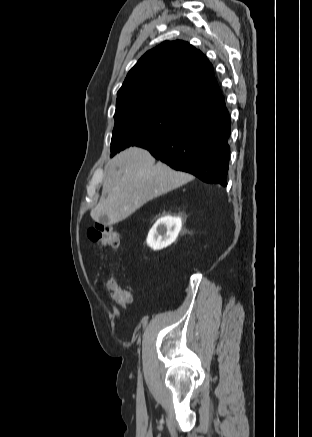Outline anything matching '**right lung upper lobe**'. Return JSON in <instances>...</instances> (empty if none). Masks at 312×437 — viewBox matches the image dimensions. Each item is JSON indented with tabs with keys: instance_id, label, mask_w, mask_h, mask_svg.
Listing matches in <instances>:
<instances>
[{
	"instance_id": "1",
	"label": "right lung upper lobe",
	"mask_w": 312,
	"mask_h": 437,
	"mask_svg": "<svg viewBox=\"0 0 312 437\" xmlns=\"http://www.w3.org/2000/svg\"><path fill=\"white\" fill-rule=\"evenodd\" d=\"M221 98L206 56L187 42L165 41L129 71L117 93L116 110L159 102L196 112Z\"/></svg>"
}]
</instances>
